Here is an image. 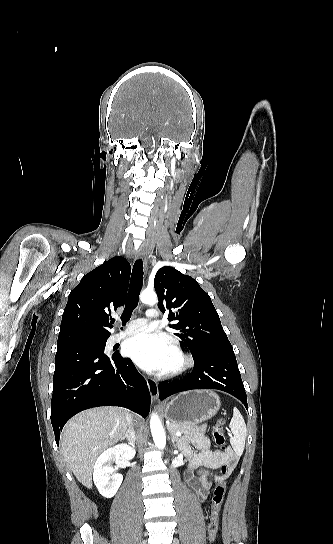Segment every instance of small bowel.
Segmentation results:
<instances>
[{"label": "small bowel", "instance_id": "c3829d8e", "mask_svg": "<svg viewBox=\"0 0 333 544\" xmlns=\"http://www.w3.org/2000/svg\"><path fill=\"white\" fill-rule=\"evenodd\" d=\"M191 443L198 450L197 452L191 449L187 441L182 443L183 451L189 461L185 479L192 491L204 500L209 494L212 481H218L221 478L218 474H212V471L226 465L231 472L237 465L238 456L231 448L226 451L211 450L209 438L202 433L194 435Z\"/></svg>", "mask_w": 333, "mask_h": 544}]
</instances>
